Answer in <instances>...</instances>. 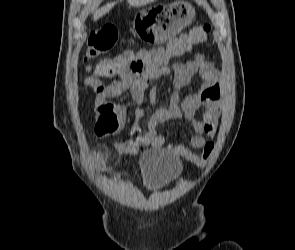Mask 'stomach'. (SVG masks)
I'll list each match as a JSON object with an SVG mask.
<instances>
[{
	"label": "stomach",
	"mask_w": 295,
	"mask_h": 250,
	"mask_svg": "<svg viewBox=\"0 0 295 250\" xmlns=\"http://www.w3.org/2000/svg\"><path fill=\"white\" fill-rule=\"evenodd\" d=\"M195 15V8L183 1L140 10L134 22L136 35H140V40H147V45H164L190 25Z\"/></svg>",
	"instance_id": "obj_1"
}]
</instances>
